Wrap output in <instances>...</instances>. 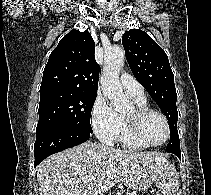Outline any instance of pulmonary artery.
Listing matches in <instances>:
<instances>
[{
    "mask_svg": "<svg viewBox=\"0 0 211 195\" xmlns=\"http://www.w3.org/2000/svg\"><path fill=\"white\" fill-rule=\"evenodd\" d=\"M121 86L124 92L133 99H144L143 86L128 73H123L120 77Z\"/></svg>",
    "mask_w": 211,
    "mask_h": 195,
    "instance_id": "e3ab8cb5",
    "label": "pulmonary artery"
}]
</instances>
